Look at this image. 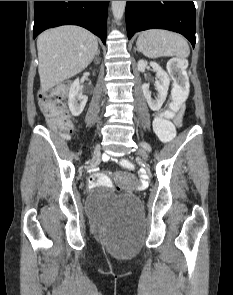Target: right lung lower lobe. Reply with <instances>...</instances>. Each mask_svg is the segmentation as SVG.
<instances>
[{
	"mask_svg": "<svg viewBox=\"0 0 233 295\" xmlns=\"http://www.w3.org/2000/svg\"><path fill=\"white\" fill-rule=\"evenodd\" d=\"M109 1H35L34 38L45 29L65 24L82 26L105 44Z\"/></svg>",
	"mask_w": 233,
	"mask_h": 295,
	"instance_id": "98d812e1",
	"label": "right lung lower lobe"
}]
</instances>
